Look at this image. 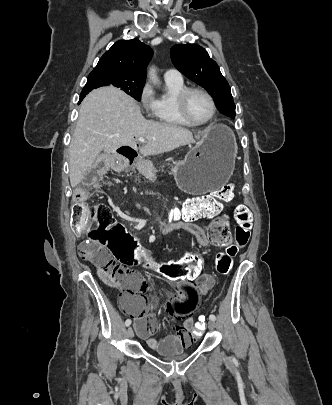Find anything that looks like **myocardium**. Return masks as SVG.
<instances>
[{"label": "myocardium", "instance_id": "1", "mask_svg": "<svg viewBox=\"0 0 332 405\" xmlns=\"http://www.w3.org/2000/svg\"><path fill=\"white\" fill-rule=\"evenodd\" d=\"M193 92H200V93L204 94L211 102L212 113L204 121H199V122L195 121L188 114L187 101H188L190 94ZM176 102H177V108H178V112H179L180 116L182 117V119L184 121H186L191 126L207 125L214 120V118L217 114V104H216L214 97L206 89L201 88V87H186L178 94Z\"/></svg>", "mask_w": 332, "mask_h": 405}]
</instances>
